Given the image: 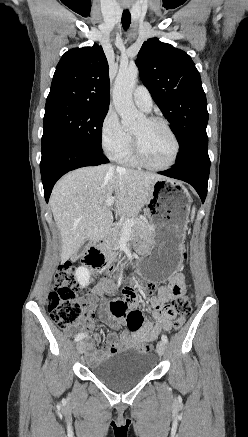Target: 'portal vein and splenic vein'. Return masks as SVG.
<instances>
[{
	"instance_id": "1",
	"label": "portal vein and splenic vein",
	"mask_w": 248,
	"mask_h": 437,
	"mask_svg": "<svg viewBox=\"0 0 248 437\" xmlns=\"http://www.w3.org/2000/svg\"><path fill=\"white\" fill-rule=\"evenodd\" d=\"M114 204V198L113 197H109L106 200V205L110 208L112 207ZM136 219H127L124 221L123 223V227L125 230L131 229V227L136 224Z\"/></svg>"
}]
</instances>
